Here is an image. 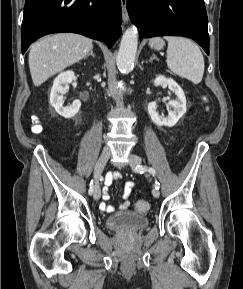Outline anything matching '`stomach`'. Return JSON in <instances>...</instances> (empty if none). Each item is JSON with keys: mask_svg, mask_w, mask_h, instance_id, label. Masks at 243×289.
Segmentation results:
<instances>
[{"mask_svg": "<svg viewBox=\"0 0 243 289\" xmlns=\"http://www.w3.org/2000/svg\"><path fill=\"white\" fill-rule=\"evenodd\" d=\"M149 45L155 50H160L163 48L164 42L161 38L155 37L149 41Z\"/></svg>", "mask_w": 243, "mask_h": 289, "instance_id": "obj_1", "label": "stomach"}]
</instances>
